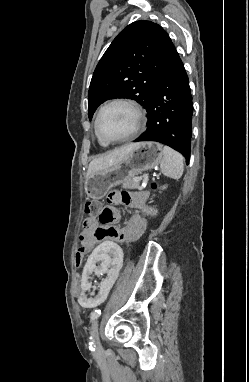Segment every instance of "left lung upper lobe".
Segmentation results:
<instances>
[{
	"instance_id": "left-lung-upper-lobe-1",
	"label": "left lung upper lobe",
	"mask_w": 249,
	"mask_h": 382,
	"mask_svg": "<svg viewBox=\"0 0 249 382\" xmlns=\"http://www.w3.org/2000/svg\"><path fill=\"white\" fill-rule=\"evenodd\" d=\"M176 53L164 29L151 21H136L112 41L97 64L88 93L91 120L104 101L124 97L147 109L153 93Z\"/></svg>"
}]
</instances>
